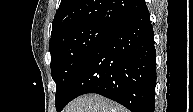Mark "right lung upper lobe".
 I'll return each instance as SVG.
<instances>
[{
  "instance_id": "cb5924a9",
  "label": "right lung upper lobe",
  "mask_w": 193,
  "mask_h": 112,
  "mask_svg": "<svg viewBox=\"0 0 193 112\" xmlns=\"http://www.w3.org/2000/svg\"><path fill=\"white\" fill-rule=\"evenodd\" d=\"M145 7L144 0H61L51 37L65 28L84 23L113 29Z\"/></svg>"
}]
</instances>
